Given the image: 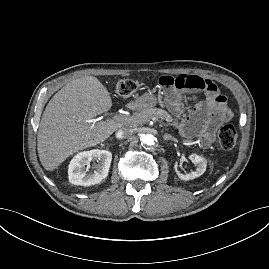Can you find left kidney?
I'll return each instance as SVG.
<instances>
[{"label": "left kidney", "instance_id": "5707ae66", "mask_svg": "<svg viewBox=\"0 0 269 269\" xmlns=\"http://www.w3.org/2000/svg\"><path fill=\"white\" fill-rule=\"evenodd\" d=\"M189 158L196 166V170L194 172L188 174L180 173L179 171H177L178 163H174V170L176 171L178 177L184 181L192 180L201 176L206 171L207 167V160L202 156H199L197 154H191Z\"/></svg>", "mask_w": 269, "mask_h": 269}]
</instances>
